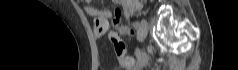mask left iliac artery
Returning a JSON list of instances; mask_svg holds the SVG:
<instances>
[{
    "label": "left iliac artery",
    "instance_id": "obj_1",
    "mask_svg": "<svg viewBox=\"0 0 238 70\" xmlns=\"http://www.w3.org/2000/svg\"><path fill=\"white\" fill-rule=\"evenodd\" d=\"M133 26H134V28H138L140 26V24L138 22H134Z\"/></svg>",
    "mask_w": 238,
    "mask_h": 70
}]
</instances>
